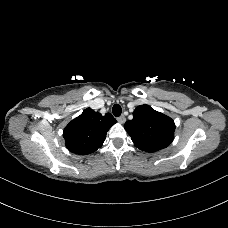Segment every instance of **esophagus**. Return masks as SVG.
I'll list each match as a JSON object with an SVG mask.
<instances>
[{"label":"esophagus","instance_id":"esophagus-1","mask_svg":"<svg viewBox=\"0 0 228 228\" xmlns=\"http://www.w3.org/2000/svg\"><path fill=\"white\" fill-rule=\"evenodd\" d=\"M117 121H118L119 123L123 124V123L126 121V118H125L124 115H122V116H120V117L117 118Z\"/></svg>","mask_w":228,"mask_h":228}]
</instances>
